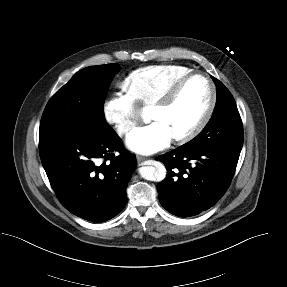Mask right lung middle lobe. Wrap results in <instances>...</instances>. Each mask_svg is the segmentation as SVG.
I'll return each mask as SVG.
<instances>
[{"label":"right lung middle lobe","instance_id":"obj_1","mask_svg":"<svg viewBox=\"0 0 287 287\" xmlns=\"http://www.w3.org/2000/svg\"><path fill=\"white\" fill-rule=\"evenodd\" d=\"M117 64L90 66L77 72L49 100L39 129V144L91 136L109 128L103 105Z\"/></svg>","mask_w":287,"mask_h":287}]
</instances>
